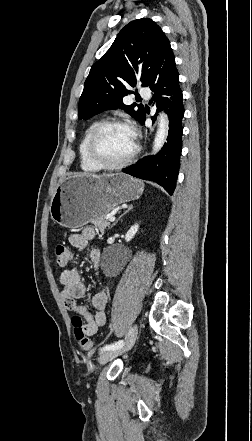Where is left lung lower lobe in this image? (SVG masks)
<instances>
[{
  "label": "left lung lower lobe",
  "mask_w": 252,
  "mask_h": 441,
  "mask_svg": "<svg viewBox=\"0 0 252 441\" xmlns=\"http://www.w3.org/2000/svg\"><path fill=\"white\" fill-rule=\"evenodd\" d=\"M153 92L157 112L165 110L169 117V135L163 149L155 156L145 157L122 171L132 176L158 183L172 195L180 167L182 150V125L184 116L183 95L179 74L170 43L164 45L155 73L148 85ZM157 114L152 118L154 121ZM146 116L140 122L144 123Z\"/></svg>",
  "instance_id": "obj_1"
}]
</instances>
